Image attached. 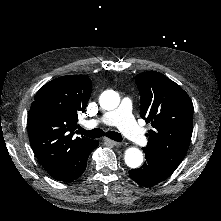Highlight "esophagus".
I'll list each match as a JSON object with an SVG mask.
<instances>
[{
  "instance_id": "esophagus-1",
  "label": "esophagus",
  "mask_w": 221,
  "mask_h": 221,
  "mask_svg": "<svg viewBox=\"0 0 221 221\" xmlns=\"http://www.w3.org/2000/svg\"><path fill=\"white\" fill-rule=\"evenodd\" d=\"M104 141L111 144V145H114V146H120L121 143L120 142H117V141H113V140H110L108 138H104Z\"/></svg>"
}]
</instances>
